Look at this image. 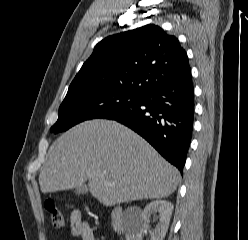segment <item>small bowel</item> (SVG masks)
<instances>
[{"instance_id": "1", "label": "small bowel", "mask_w": 248, "mask_h": 240, "mask_svg": "<svg viewBox=\"0 0 248 240\" xmlns=\"http://www.w3.org/2000/svg\"><path fill=\"white\" fill-rule=\"evenodd\" d=\"M71 234L81 240H96L91 225L84 221L78 211H73L70 216Z\"/></svg>"}]
</instances>
